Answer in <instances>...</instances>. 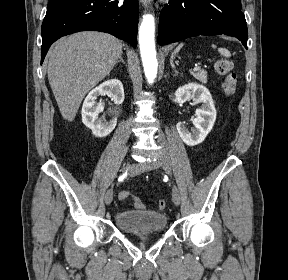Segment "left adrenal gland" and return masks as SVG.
I'll return each mask as SVG.
<instances>
[{
    "label": "left adrenal gland",
    "mask_w": 288,
    "mask_h": 280,
    "mask_svg": "<svg viewBox=\"0 0 288 280\" xmlns=\"http://www.w3.org/2000/svg\"><path fill=\"white\" fill-rule=\"evenodd\" d=\"M174 72H175L174 76H177L179 74L178 71L175 69H174Z\"/></svg>",
    "instance_id": "a2214340"
}]
</instances>
